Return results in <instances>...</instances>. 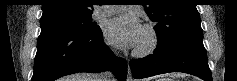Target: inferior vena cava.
I'll list each match as a JSON object with an SVG mask.
<instances>
[{"label":"inferior vena cava","mask_w":237,"mask_h":81,"mask_svg":"<svg viewBox=\"0 0 237 81\" xmlns=\"http://www.w3.org/2000/svg\"><path fill=\"white\" fill-rule=\"evenodd\" d=\"M102 81H112V74L110 72L101 73Z\"/></svg>","instance_id":"1"}]
</instances>
